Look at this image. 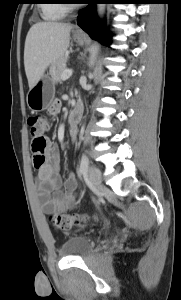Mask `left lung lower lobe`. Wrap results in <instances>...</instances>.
<instances>
[{"instance_id": "left-lung-lower-lobe-1", "label": "left lung lower lobe", "mask_w": 181, "mask_h": 300, "mask_svg": "<svg viewBox=\"0 0 181 300\" xmlns=\"http://www.w3.org/2000/svg\"><path fill=\"white\" fill-rule=\"evenodd\" d=\"M89 4L83 11L79 13L77 24L90 35L91 38L95 39L98 29V19L95 10V4L99 3H115L114 0H90ZM101 42H107V36L105 34L101 37Z\"/></svg>"}]
</instances>
